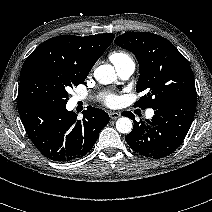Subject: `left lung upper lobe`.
I'll return each instance as SVG.
<instances>
[{
  "label": "left lung upper lobe",
  "instance_id": "obj_1",
  "mask_svg": "<svg viewBox=\"0 0 212 212\" xmlns=\"http://www.w3.org/2000/svg\"><path fill=\"white\" fill-rule=\"evenodd\" d=\"M115 44L139 62L136 91H146L135 107L158 109L181 98H197L194 76L186 58L167 39L149 32H127Z\"/></svg>",
  "mask_w": 212,
  "mask_h": 212
}]
</instances>
